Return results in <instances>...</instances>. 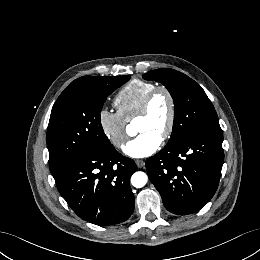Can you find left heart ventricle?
<instances>
[{
    "instance_id": "obj_1",
    "label": "left heart ventricle",
    "mask_w": 260,
    "mask_h": 260,
    "mask_svg": "<svg viewBox=\"0 0 260 260\" xmlns=\"http://www.w3.org/2000/svg\"><path fill=\"white\" fill-rule=\"evenodd\" d=\"M170 104L167 96L158 94L153 99L147 116L136 119L138 133L150 132L161 138L169 119Z\"/></svg>"
}]
</instances>
